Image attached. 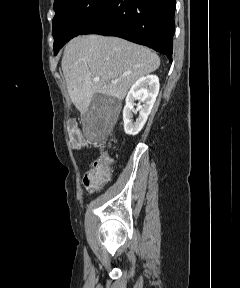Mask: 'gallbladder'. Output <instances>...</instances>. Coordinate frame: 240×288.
<instances>
[{"label":"gallbladder","mask_w":240,"mask_h":288,"mask_svg":"<svg viewBox=\"0 0 240 288\" xmlns=\"http://www.w3.org/2000/svg\"><path fill=\"white\" fill-rule=\"evenodd\" d=\"M117 104L114 100L101 95L95 94L92 102L84 114V123L87 125L91 121L99 120H112V115L115 113Z\"/></svg>","instance_id":"1"}]
</instances>
